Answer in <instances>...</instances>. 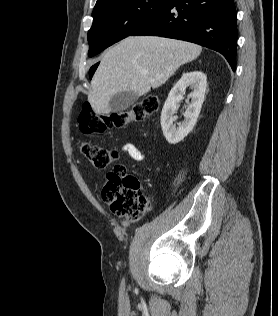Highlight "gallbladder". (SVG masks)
<instances>
[{"mask_svg": "<svg viewBox=\"0 0 278 316\" xmlns=\"http://www.w3.org/2000/svg\"><path fill=\"white\" fill-rule=\"evenodd\" d=\"M139 96L131 91H122L113 95L110 99L109 106L112 112H123L131 107Z\"/></svg>", "mask_w": 278, "mask_h": 316, "instance_id": "1", "label": "gallbladder"}]
</instances>
